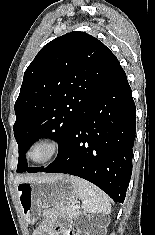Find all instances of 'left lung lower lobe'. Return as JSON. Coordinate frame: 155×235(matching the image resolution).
Here are the masks:
<instances>
[{
    "mask_svg": "<svg viewBox=\"0 0 155 235\" xmlns=\"http://www.w3.org/2000/svg\"><path fill=\"white\" fill-rule=\"evenodd\" d=\"M136 107L118 63L95 95L53 163L41 172L86 179L123 203L132 173Z\"/></svg>",
    "mask_w": 155,
    "mask_h": 235,
    "instance_id": "obj_1",
    "label": "left lung lower lobe"
}]
</instances>
